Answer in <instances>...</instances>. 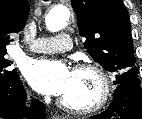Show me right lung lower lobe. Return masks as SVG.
Segmentation results:
<instances>
[{"label": "right lung lower lobe", "instance_id": "1", "mask_svg": "<svg viewBox=\"0 0 142 119\" xmlns=\"http://www.w3.org/2000/svg\"><path fill=\"white\" fill-rule=\"evenodd\" d=\"M25 90L20 78L7 85H0V117L17 119L27 116L30 119H44L45 107L39 101L33 100L30 109L25 108Z\"/></svg>", "mask_w": 142, "mask_h": 119}]
</instances>
